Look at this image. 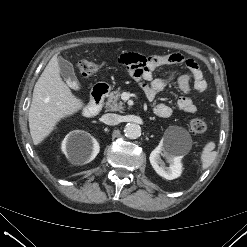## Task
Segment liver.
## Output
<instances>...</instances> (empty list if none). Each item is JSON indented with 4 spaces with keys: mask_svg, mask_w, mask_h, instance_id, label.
Masks as SVG:
<instances>
[{
    "mask_svg": "<svg viewBox=\"0 0 247 247\" xmlns=\"http://www.w3.org/2000/svg\"><path fill=\"white\" fill-rule=\"evenodd\" d=\"M83 106V101L61 79L57 55H54L33 90L28 115L33 143L40 144L60 120L75 114Z\"/></svg>",
    "mask_w": 247,
    "mask_h": 247,
    "instance_id": "obj_1",
    "label": "liver"
}]
</instances>
